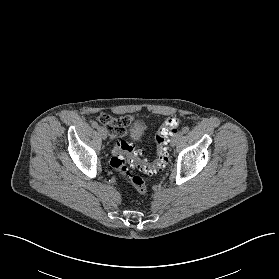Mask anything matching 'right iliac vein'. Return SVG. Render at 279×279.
I'll return each instance as SVG.
<instances>
[{"instance_id": "right-iliac-vein-1", "label": "right iliac vein", "mask_w": 279, "mask_h": 279, "mask_svg": "<svg viewBox=\"0 0 279 279\" xmlns=\"http://www.w3.org/2000/svg\"><path fill=\"white\" fill-rule=\"evenodd\" d=\"M98 132H99V134H100V136H101L102 139L105 140V139L107 138V131H106L105 128L99 127V128H98Z\"/></svg>"}]
</instances>
